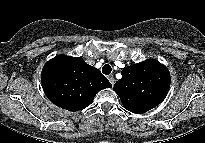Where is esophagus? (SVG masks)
I'll return each instance as SVG.
<instances>
[{
  "label": "esophagus",
  "instance_id": "1",
  "mask_svg": "<svg viewBox=\"0 0 205 143\" xmlns=\"http://www.w3.org/2000/svg\"><path fill=\"white\" fill-rule=\"evenodd\" d=\"M108 80L110 81V83L113 85L115 83V79L113 76H108Z\"/></svg>",
  "mask_w": 205,
  "mask_h": 143
}]
</instances>
